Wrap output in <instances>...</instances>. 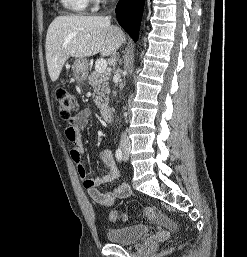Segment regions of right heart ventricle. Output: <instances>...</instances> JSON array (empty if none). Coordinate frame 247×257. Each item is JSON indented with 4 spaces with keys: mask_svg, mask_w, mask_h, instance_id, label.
Listing matches in <instances>:
<instances>
[{
    "mask_svg": "<svg viewBox=\"0 0 247 257\" xmlns=\"http://www.w3.org/2000/svg\"><path fill=\"white\" fill-rule=\"evenodd\" d=\"M60 1L66 9L79 14L85 13L90 3L89 0H60Z\"/></svg>",
    "mask_w": 247,
    "mask_h": 257,
    "instance_id": "1",
    "label": "right heart ventricle"
}]
</instances>
